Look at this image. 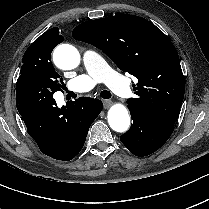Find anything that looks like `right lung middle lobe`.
<instances>
[{"mask_svg":"<svg viewBox=\"0 0 209 209\" xmlns=\"http://www.w3.org/2000/svg\"><path fill=\"white\" fill-rule=\"evenodd\" d=\"M56 42L51 38H37L25 51L18 80L28 81L52 94L61 91L64 83L51 63Z\"/></svg>","mask_w":209,"mask_h":209,"instance_id":"1","label":"right lung middle lobe"}]
</instances>
